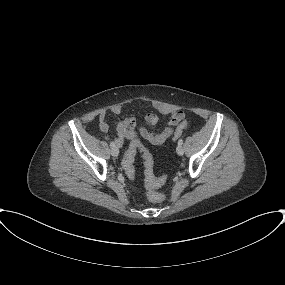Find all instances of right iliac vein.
Returning <instances> with one entry per match:
<instances>
[{
	"label": "right iliac vein",
	"instance_id": "63e3f726",
	"mask_svg": "<svg viewBox=\"0 0 285 285\" xmlns=\"http://www.w3.org/2000/svg\"><path fill=\"white\" fill-rule=\"evenodd\" d=\"M119 154V149L117 147H113L111 149V155L114 156V157H117Z\"/></svg>",
	"mask_w": 285,
	"mask_h": 285
}]
</instances>
